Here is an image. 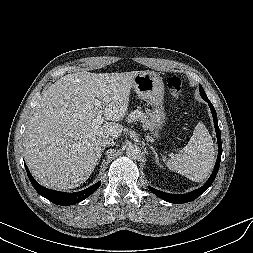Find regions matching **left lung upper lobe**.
Returning a JSON list of instances; mask_svg holds the SVG:
<instances>
[{"label": "left lung upper lobe", "instance_id": "obj_1", "mask_svg": "<svg viewBox=\"0 0 253 253\" xmlns=\"http://www.w3.org/2000/svg\"><path fill=\"white\" fill-rule=\"evenodd\" d=\"M200 95H201V97H202L204 100L207 99V95H206V93L204 92V90H203L202 87H200Z\"/></svg>", "mask_w": 253, "mask_h": 253}]
</instances>
